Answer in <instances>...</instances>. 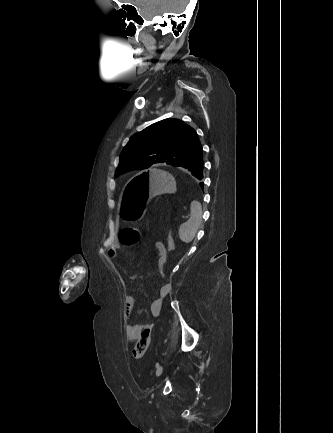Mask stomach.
I'll return each mask as SVG.
<instances>
[{
  "label": "stomach",
  "instance_id": "obj_1",
  "mask_svg": "<svg viewBox=\"0 0 333 433\" xmlns=\"http://www.w3.org/2000/svg\"><path fill=\"white\" fill-rule=\"evenodd\" d=\"M171 175L170 169H143L142 173L133 177L122 193L120 217L129 225L139 223V218L145 215L146 204L151 198L176 191Z\"/></svg>",
  "mask_w": 333,
  "mask_h": 433
}]
</instances>
